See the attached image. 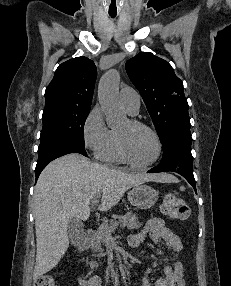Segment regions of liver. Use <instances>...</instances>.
Listing matches in <instances>:
<instances>
[{
    "label": "liver",
    "instance_id": "6515ba94",
    "mask_svg": "<svg viewBox=\"0 0 231 286\" xmlns=\"http://www.w3.org/2000/svg\"><path fill=\"white\" fill-rule=\"evenodd\" d=\"M176 182L170 174H128L90 162L77 153L49 163L34 191L36 263L33 279L52 270L69 247L68 223L87 220L90 202L101 196L100 211L115 206L124 193L144 182Z\"/></svg>",
    "mask_w": 231,
    "mask_h": 286
}]
</instances>
